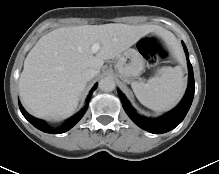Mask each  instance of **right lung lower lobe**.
<instances>
[{"instance_id":"98d812e1","label":"right lung lower lobe","mask_w":219,"mask_h":174,"mask_svg":"<svg viewBox=\"0 0 219 174\" xmlns=\"http://www.w3.org/2000/svg\"><path fill=\"white\" fill-rule=\"evenodd\" d=\"M97 88V84H95V86L92 88V90L90 91L89 95L87 96L86 99V106L80 111L78 112L76 115H74L73 117H71L70 119H68L63 126H61L60 128L57 129H52L50 128L44 121L40 120V119H36L33 116L29 115L24 108L22 107V105L19 102V108L21 110V113L23 114V116L33 125L35 126L37 129L46 132V133H51V134H60V133H64L66 131H68L69 129H71L83 116V114L85 113L89 100L91 98L92 92Z\"/></svg>"}]
</instances>
